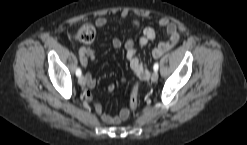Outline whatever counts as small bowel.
I'll return each mask as SVG.
<instances>
[{"label": "small bowel", "mask_w": 247, "mask_h": 145, "mask_svg": "<svg viewBox=\"0 0 247 145\" xmlns=\"http://www.w3.org/2000/svg\"><path fill=\"white\" fill-rule=\"evenodd\" d=\"M126 14L123 13V16ZM95 26L97 28H103L107 25V19L105 17H98L95 19ZM132 25L136 27H140V22L138 20H132ZM158 28L164 29L166 33V41L160 42L153 49L152 55L154 58L160 57L166 51L172 49L180 39L179 29L177 24L169 18H161L158 21ZM156 38V30L153 27H145L143 29L142 36L139 40V46L144 48L150 41H153ZM112 46L115 49H120L122 47L125 48L126 58L129 61L131 71L133 74L142 81H146L150 77V72L148 70L147 63L142 61L137 55V49L135 42L131 39L126 40L124 43L119 38H114L112 40ZM80 62L83 67H87L91 61H94L96 56L95 52L92 49L90 44L83 45L79 50ZM86 84L83 89L84 97L92 101L94 104V109L97 115H99L100 119L109 125L119 124L121 121L125 120L128 115V111L126 109L122 110L119 115L111 116L105 114L103 112L102 105L95 101L93 95L90 92V89L94 88L96 85V79L90 73L86 74ZM124 82V79H122ZM115 86L113 84L109 85L108 90L113 91Z\"/></svg>", "instance_id": "obj_1"}]
</instances>
